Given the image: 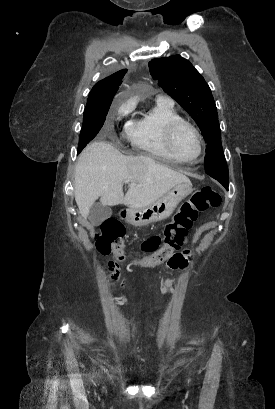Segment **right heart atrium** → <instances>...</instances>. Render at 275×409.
I'll return each mask as SVG.
<instances>
[{"instance_id":"right-heart-atrium-1","label":"right heart atrium","mask_w":275,"mask_h":409,"mask_svg":"<svg viewBox=\"0 0 275 409\" xmlns=\"http://www.w3.org/2000/svg\"><path fill=\"white\" fill-rule=\"evenodd\" d=\"M129 111H130V108H123V109L121 110V115L124 116V115H126Z\"/></svg>"}]
</instances>
